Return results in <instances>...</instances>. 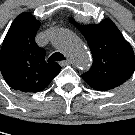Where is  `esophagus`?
<instances>
[{
	"label": "esophagus",
	"instance_id": "1",
	"mask_svg": "<svg viewBox=\"0 0 135 135\" xmlns=\"http://www.w3.org/2000/svg\"><path fill=\"white\" fill-rule=\"evenodd\" d=\"M72 61L70 59H66L65 61H60L59 64L61 66H65V65H68V64H71Z\"/></svg>",
	"mask_w": 135,
	"mask_h": 135
}]
</instances>
